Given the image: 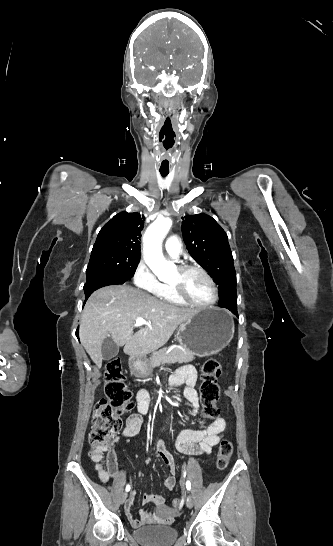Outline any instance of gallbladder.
I'll return each mask as SVG.
<instances>
[{"label":"gallbladder","instance_id":"gallbladder-1","mask_svg":"<svg viewBox=\"0 0 333 546\" xmlns=\"http://www.w3.org/2000/svg\"><path fill=\"white\" fill-rule=\"evenodd\" d=\"M119 353V346L112 339L107 338L102 343V358L103 360H111Z\"/></svg>","mask_w":333,"mask_h":546}]
</instances>
